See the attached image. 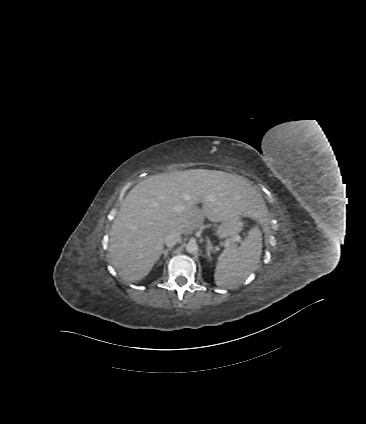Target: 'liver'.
<instances>
[{
  "label": "liver",
  "mask_w": 366,
  "mask_h": 424,
  "mask_svg": "<svg viewBox=\"0 0 366 424\" xmlns=\"http://www.w3.org/2000/svg\"><path fill=\"white\" fill-rule=\"evenodd\" d=\"M265 211L261 195L238 175L191 169L151 176L128 193L112 224L111 264L124 280L140 281L158 261L170 231L191 235L205 218L214 223L241 216L262 221Z\"/></svg>",
  "instance_id": "obj_1"
}]
</instances>
